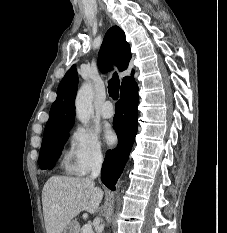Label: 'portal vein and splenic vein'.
Segmentation results:
<instances>
[{
    "label": "portal vein and splenic vein",
    "instance_id": "portal-vein-and-splenic-vein-1",
    "mask_svg": "<svg viewBox=\"0 0 227 233\" xmlns=\"http://www.w3.org/2000/svg\"><path fill=\"white\" fill-rule=\"evenodd\" d=\"M82 233H93L91 224H85L82 228Z\"/></svg>",
    "mask_w": 227,
    "mask_h": 233
}]
</instances>
